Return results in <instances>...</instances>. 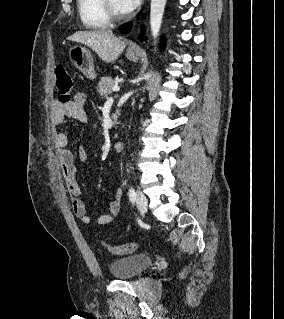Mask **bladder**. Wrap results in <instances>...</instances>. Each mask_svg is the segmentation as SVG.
Returning a JSON list of instances; mask_svg holds the SVG:
<instances>
[{
  "instance_id": "31cf9c89",
  "label": "bladder",
  "mask_w": 284,
  "mask_h": 319,
  "mask_svg": "<svg viewBox=\"0 0 284 319\" xmlns=\"http://www.w3.org/2000/svg\"><path fill=\"white\" fill-rule=\"evenodd\" d=\"M152 263L153 258L149 254H131L113 260L109 264V272L116 279H132L142 274Z\"/></svg>"
}]
</instances>
